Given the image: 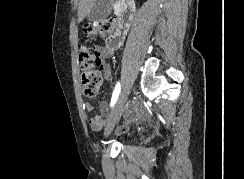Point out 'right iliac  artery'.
<instances>
[{"label":"right iliac artery","mask_w":244,"mask_h":179,"mask_svg":"<svg viewBox=\"0 0 244 179\" xmlns=\"http://www.w3.org/2000/svg\"><path fill=\"white\" fill-rule=\"evenodd\" d=\"M120 89H121L120 83L118 82L116 84V86H115L114 91H113V95H112V99H111V104H110L111 107L114 106V104L116 103V101L118 99V96L120 94Z\"/></svg>","instance_id":"1"}]
</instances>
